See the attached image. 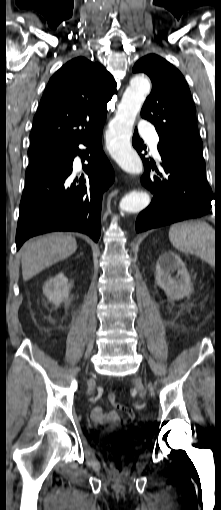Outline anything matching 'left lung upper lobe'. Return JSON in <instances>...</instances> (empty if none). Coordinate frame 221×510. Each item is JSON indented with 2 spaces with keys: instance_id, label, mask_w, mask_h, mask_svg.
Instances as JSON below:
<instances>
[{
  "instance_id": "5c2ea615",
  "label": "left lung upper lobe",
  "mask_w": 221,
  "mask_h": 510,
  "mask_svg": "<svg viewBox=\"0 0 221 510\" xmlns=\"http://www.w3.org/2000/svg\"><path fill=\"white\" fill-rule=\"evenodd\" d=\"M133 72L145 73L152 81V91L142 107L141 116L154 124L160 138L159 152L205 168L196 109L183 75L155 54L141 58Z\"/></svg>"
}]
</instances>
